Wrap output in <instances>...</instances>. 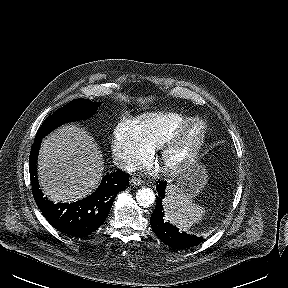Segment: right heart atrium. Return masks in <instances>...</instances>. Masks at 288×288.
Here are the masks:
<instances>
[{"instance_id": "right-heart-atrium-1", "label": "right heart atrium", "mask_w": 288, "mask_h": 288, "mask_svg": "<svg viewBox=\"0 0 288 288\" xmlns=\"http://www.w3.org/2000/svg\"><path fill=\"white\" fill-rule=\"evenodd\" d=\"M112 148L120 166L127 170L145 165L153 153V148L134 120H124L116 126Z\"/></svg>"}]
</instances>
